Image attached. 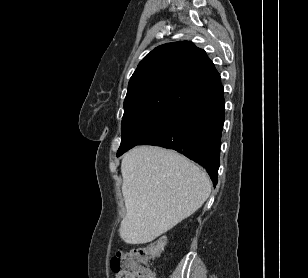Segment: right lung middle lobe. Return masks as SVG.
<instances>
[{
  "mask_svg": "<svg viewBox=\"0 0 308 278\" xmlns=\"http://www.w3.org/2000/svg\"><path fill=\"white\" fill-rule=\"evenodd\" d=\"M177 113L178 111H148L122 119V139L117 152V157L158 132Z\"/></svg>",
  "mask_w": 308,
  "mask_h": 278,
  "instance_id": "obj_1",
  "label": "right lung middle lobe"
}]
</instances>
